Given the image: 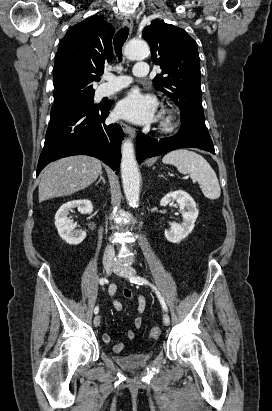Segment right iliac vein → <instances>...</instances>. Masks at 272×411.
<instances>
[{
	"mask_svg": "<svg viewBox=\"0 0 272 411\" xmlns=\"http://www.w3.org/2000/svg\"><path fill=\"white\" fill-rule=\"evenodd\" d=\"M113 267H114V265H113L112 262H110V261H105L104 262V269H105V272H106L107 275L110 276L113 273ZM93 323H94V326H96V327L100 325V316L99 315H96L94 317Z\"/></svg>",
	"mask_w": 272,
	"mask_h": 411,
	"instance_id": "63e3f726",
	"label": "right iliac vein"
}]
</instances>
